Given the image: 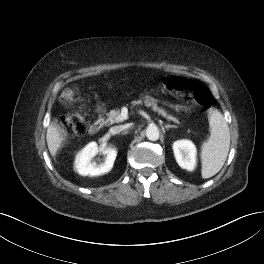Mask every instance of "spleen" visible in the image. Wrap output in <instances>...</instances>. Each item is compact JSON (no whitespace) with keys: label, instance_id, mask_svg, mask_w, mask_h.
<instances>
[{"label":"spleen","instance_id":"spleen-1","mask_svg":"<svg viewBox=\"0 0 264 264\" xmlns=\"http://www.w3.org/2000/svg\"><path fill=\"white\" fill-rule=\"evenodd\" d=\"M210 138L201 146V175L207 179L217 174L223 167L230 147L228 124L216 109L209 110Z\"/></svg>","mask_w":264,"mask_h":264}]
</instances>
